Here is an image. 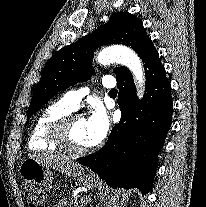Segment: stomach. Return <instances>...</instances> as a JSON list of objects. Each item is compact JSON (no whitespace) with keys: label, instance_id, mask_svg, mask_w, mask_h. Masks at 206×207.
I'll return each instance as SVG.
<instances>
[{"label":"stomach","instance_id":"1","mask_svg":"<svg viewBox=\"0 0 206 207\" xmlns=\"http://www.w3.org/2000/svg\"><path fill=\"white\" fill-rule=\"evenodd\" d=\"M19 175L28 183L43 186H51L53 182V172L50 168L37 160L25 158L19 166ZM79 182L89 189H96L100 186V181L92 175H83Z\"/></svg>","mask_w":206,"mask_h":207}]
</instances>
